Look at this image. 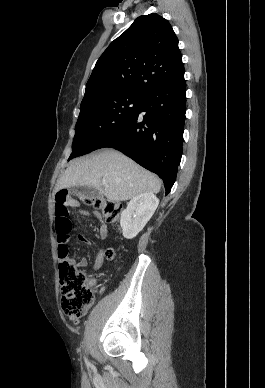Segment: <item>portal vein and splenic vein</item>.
<instances>
[{
    "mask_svg": "<svg viewBox=\"0 0 265 388\" xmlns=\"http://www.w3.org/2000/svg\"><path fill=\"white\" fill-rule=\"evenodd\" d=\"M102 184H103V186H105V188H108V182H107V180H105V178H103Z\"/></svg>",
    "mask_w": 265,
    "mask_h": 388,
    "instance_id": "portal-vein-and-splenic-vein-1",
    "label": "portal vein and splenic vein"
}]
</instances>
